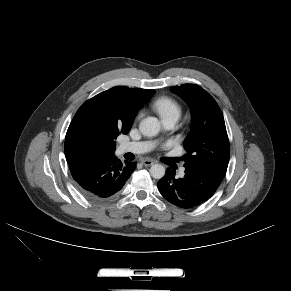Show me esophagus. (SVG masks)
Listing matches in <instances>:
<instances>
[{
	"label": "esophagus",
	"mask_w": 291,
	"mask_h": 291,
	"mask_svg": "<svg viewBox=\"0 0 291 291\" xmlns=\"http://www.w3.org/2000/svg\"><path fill=\"white\" fill-rule=\"evenodd\" d=\"M141 163H142L144 166H151V165L154 164V161L151 160V159H143V160L141 161Z\"/></svg>",
	"instance_id": "obj_1"
}]
</instances>
